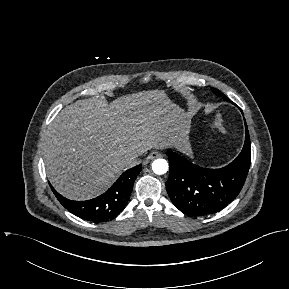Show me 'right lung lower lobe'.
<instances>
[{"label": "right lung lower lobe", "mask_w": 289, "mask_h": 289, "mask_svg": "<svg viewBox=\"0 0 289 289\" xmlns=\"http://www.w3.org/2000/svg\"><path fill=\"white\" fill-rule=\"evenodd\" d=\"M142 169L137 165L124 172L119 179L102 195L87 201H73L60 195L51 185L59 202L71 213L92 222H105L113 219L124 209L133 189L136 176Z\"/></svg>", "instance_id": "right-lung-lower-lobe-1"}]
</instances>
